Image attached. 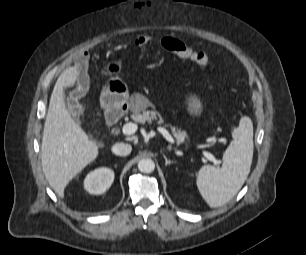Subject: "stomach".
Masks as SVG:
<instances>
[{"label":"stomach","mask_w":306,"mask_h":255,"mask_svg":"<svg viewBox=\"0 0 306 255\" xmlns=\"http://www.w3.org/2000/svg\"><path fill=\"white\" fill-rule=\"evenodd\" d=\"M121 67V61H114L108 64V70L114 71L116 67ZM128 103L127 85L118 77L111 78L104 86L100 95V104L105 111L120 109ZM188 109L193 114L201 111V104L196 97H190L188 100Z\"/></svg>","instance_id":"1"}]
</instances>
